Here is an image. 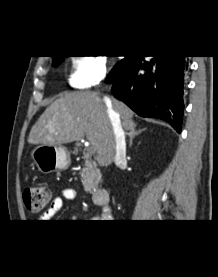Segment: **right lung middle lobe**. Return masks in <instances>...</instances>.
<instances>
[{"instance_id": "1", "label": "right lung middle lobe", "mask_w": 218, "mask_h": 277, "mask_svg": "<svg viewBox=\"0 0 218 277\" xmlns=\"http://www.w3.org/2000/svg\"><path fill=\"white\" fill-rule=\"evenodd\" d=\"M131 59V57H125L124 59H122L120 62H118L115 67L113 68V70L109 73L107 79L108 80H113L116 76L117 71L119 70V68L127 63L129 60ZM64 60V56H60L57 59L53 60V66H58L62 61Z\"/></svg>"}]
</instances>
